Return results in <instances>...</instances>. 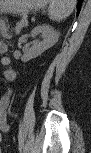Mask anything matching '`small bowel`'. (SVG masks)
I'll return each mask as SVG.
<instances>
[{
    "instance_id": "1",
    "label": "small bowel",
    "mask_w": 91,
    "mask_h": 153,
    "mask_svg": "<svg viewBox=\"0 0 91 153\" xmlns=\"http://www.w3.org/2000/svg\"><path fill=\"white\" fill-rule=\"evenodd\" d=\"M10 104V96L4 95L0 101L1 109L5 112ZM0 129L3 133H7L9 131V125L7 123L6 117H3L0 122Z\"/></svg>"
}]
</instances>
